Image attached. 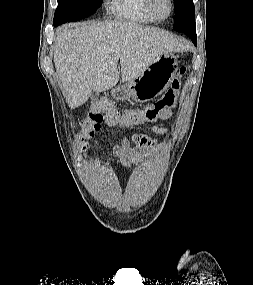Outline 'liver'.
Wrapping results in <instances>:
<instances>
[{
  "mask_svg": "<svg viewBox=\"0 0 253 285\" xmlns=\"http://www.w3.org/2000/svg\"><path fill=\"white\" fill-rule=\"evenodd\" d=\"M168 32L136 23L105 21L74 23L56 30L54 63L71 109L86 103L91 89L103 92L121 78L128 82L157 57L185 49Z\"/></svg>",
  "mask_w": 253,
  "mask_h": 285,
  "instance_id": "6515ba94",
  "label": "liver"
}]
</instances>
